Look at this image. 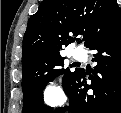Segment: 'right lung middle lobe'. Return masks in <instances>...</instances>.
Masks as SVG:
<instances>
[{"instance_id": "obj_1", "label": "right lung middle lobe", "mask_w": 121, "mask_h": 113, "mask_svg": "<svg viewBox=\"0 0 121 113\" xmlns=\"http://www.w3.org/2000/svg\"><path fill=\"white\" fill-rule=\"evenodd\" d=\"M63 58L60 53L42 57L32 64L22 68V90L24 95V113H51L52 108L43 104V88L55 77L63 75V88L67 87L75 71L63 68Z\"/></svg>"}]
</instances>
